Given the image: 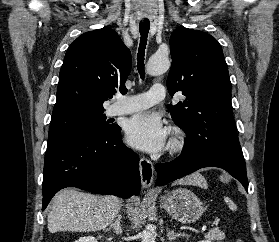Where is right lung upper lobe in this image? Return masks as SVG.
Returning <instances> with one entry per match:
<instances>
[{
	"label": "right lung upper lobe",
	"instance_id": "cb5924a9",
	"mask_svg": "<svg viewBox=\"0 0 279 242\" xmlns=\"http://www.w3.org/2000/svg\"><path fill=\"white\" fill-rule=\"evenodd\" d=\"M130 50L108 27L79 36L68 48L59 74L53 114L74 110L104 111L116 89L125 91Z\"/></svg>",
	"mask_w": 279,
	"mask_h": 242
}]
</instances>
